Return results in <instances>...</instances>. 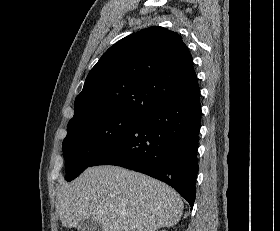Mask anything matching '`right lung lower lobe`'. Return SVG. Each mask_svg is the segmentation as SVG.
<instances>
[{"label": "right lung lower lobe", "instance_id": "1", "mask_svg": "<svg viewBox=\"0 0 280 231\" xmlns=\"http://www.w3.org/2000/svg\"><path fill=\"white\" fill-rule=\"evenodd\" d=\"M200 120V94L164 103L90 166L116 165L147 174L175 188L192 208Z\"/></svg>", "mask_w": 280, "mask_h": 231}]
</instances>
